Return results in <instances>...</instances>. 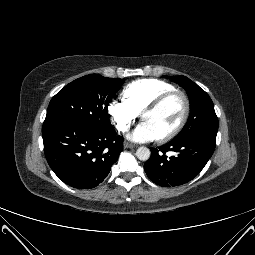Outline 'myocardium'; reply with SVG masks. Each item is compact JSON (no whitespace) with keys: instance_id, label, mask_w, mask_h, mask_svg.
I'll return each mask as SVG.
<instances>
[{"instance_id":"obj_1","label":"myocardium","mask_w":255,"mask_h":255,"mask_svg":"<svg viewBox=\"0 0 255 255\" xmlns=\"http://www.w3.org/2000/svg\"><path fill=\"white\" fill-rule=\"evenodd\" d=\"M174 96H180L182 98L183 104H184L183 113H182V116H181L178 124L171 131H169L165 135H163V136L158 138V140L161 141V142H165V141L171 140L176 135H178L179 132L185 126V124H186V122L188 120L189 114H190V100H189L188 95L184 91L179 90V89H174V90L165 92V93L161 94L160 96H158L157 98H155L141 112V119H143V117L146 114L154 112L159 107H161L167 100H169L170 98H172Z\"/></svg>"}]
</instances>
